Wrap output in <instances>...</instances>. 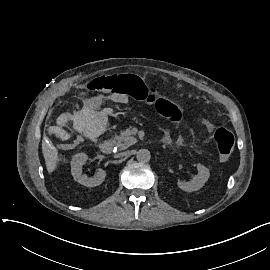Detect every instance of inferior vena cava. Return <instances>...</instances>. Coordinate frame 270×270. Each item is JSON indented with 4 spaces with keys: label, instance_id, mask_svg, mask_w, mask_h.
I'll use <instances>...</instances> for the list:
<instances>
[{
    "label": "inferior vena cava",
    "instance_id": "obj_1",
    "mask_svg": "<svg viewBox=\"0 0 270 270\" xmlns=\"http://www.w3.org/2000/svg\"><path fill=\"white\" fill-rule=\"evenodd\" d=\"M126 154H127V151H126V152L121 153V155H126Z\"/></svg>",
    "mask_w": 270,
    "mask_h": 270
}]
</instances>
